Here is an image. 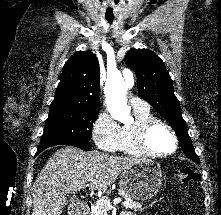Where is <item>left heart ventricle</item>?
<instances>
[{
    "label": "left heart ventricle",
    "mask_w": 221,
    "mask_h": 215,
    "mask_svg": "<svg viewBox=\"0 0 221 215\" xmlns=\"http://www.w3.org/2000/svg\"><path fill=\"white\" fill-rule=\"evenodd\" d=\"M148 143L157 152H168L174 147V141L170 132L162 126H158L151 131Z\"/></svg>",
    "instance_id": "obj_1"
}]
</instances>
